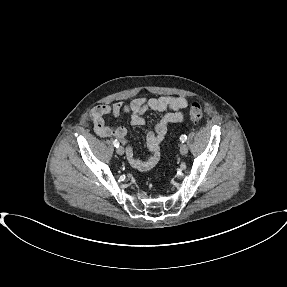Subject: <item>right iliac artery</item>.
<instances>
[{"instance_id": "right-iliac-artery-1", "label": "right iliac artery", "mask_w": 287, "mask_h": 287, "mask_svg": "<svg viewBox=\"0 0 287 287\" xmlns=\"http://www.w3.org/2000/svg\"><path fill=\"white\" fill-rule=\"evenodd\" d=\"M113 144H114L115 147H119V142L117 140H114Z\"/></svg>"}]
</instances>
